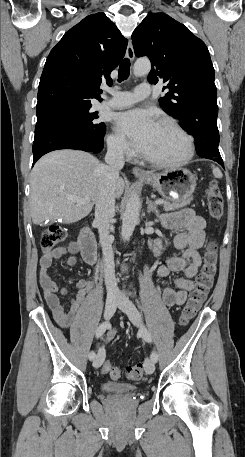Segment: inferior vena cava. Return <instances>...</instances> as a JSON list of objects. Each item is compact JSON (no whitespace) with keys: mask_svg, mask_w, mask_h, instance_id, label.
Listing matches in <instances>:
<instances>
[{"mask_svg":"<svg viewBox=\"0 0 245 457\" xmlns=\"http://www.w3.org/2000/svg\"><path fill=\"white\" fill-rule=\"evenodd\" d=\"M125 138H118L108 144L105 166H99V194L95 206L94 224H96L104 257V279L107 295H117L119 289L115 279L114 255L112 241L109 237L110 220L115 214V182L119 170L124 166Z\"/></svg>","mask_w":245,"mask_h":457,"instance_id":"inferior-vena-cava-1","label":"inferior vena cava"}]
</instances>
